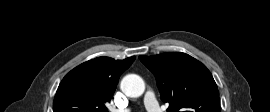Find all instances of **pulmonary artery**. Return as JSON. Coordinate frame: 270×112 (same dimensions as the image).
<instances>
[{"label":"pulmonary artery","instance_id":"obj_1","mask_svg":"<svg viewBox=\"0 0 270 112\" xmlns=\"http://www.w3.org/2000/svg\"><path fill=\"white\" fill-rule=\"evenodd\" d=\"M145 107L148 112H163L161 107L159 106L155 94L152 91L146 92L144 96ZM116 112H129L128 110H118Z\"/></svg>","mask_w":270,"mask_h":112}]
</instances>
